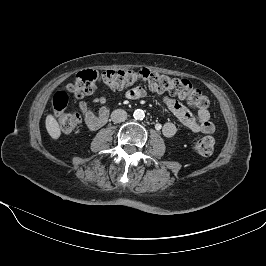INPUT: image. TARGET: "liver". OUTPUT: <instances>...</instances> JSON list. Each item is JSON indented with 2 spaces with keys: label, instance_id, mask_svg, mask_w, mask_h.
Returning a JSON list of instances; mask_svg holds the SVG:
<instances>
[{
  "label": "liver",
  "instance_id": "liver-1",
  "mask_svg": "<svg viewBox=\"0 0 266 266\" xmlns=\"http://www.w3.org/2000/svg\"><path fill=\"white\" fill-rule=\"evenodd\" d=\"M45 125L48 134L53 138V139H58L61 135V130L59 127V124L57 120L51 115H47L46 120H45Z\"/></svg>",
  "mask_w": 266,
  "mask_h": 266
}]
</instances>
